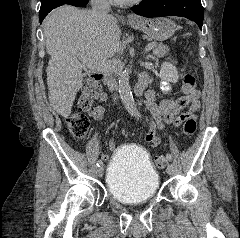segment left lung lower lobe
<instances>
[{"instance_id": "1", "label": "left lung lower lobe", "mask_w": 240, "mask_h": 238, "mask_svg": "<svg viewBox=\"0 0 240 238\" xmlns=\"http://www.w3.org/2000/svg\"><path fill=\"white\" fill-rule=\"evenodd\" d=\"M144 17L181 16L203 25L201 0H143L131 8Z\"/></svg>"}]
</instances>
